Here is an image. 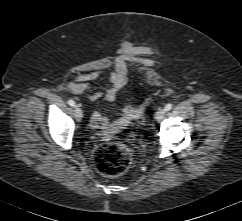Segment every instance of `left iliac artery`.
I'll list each match as a JSON object with an SVG mask.
<instances>
[{
    "mask_svg": "<svg viewBox=\"0 0 242 221\" xmlns=\"http://www.w3.org/2000/svg\"><path fill=\"white\" fill-rule=\"evenodd\" d=\"M172 106H173V105L169 103V104H167V105L165 106L164 110H165V111H170V110L172 109Z\"/></svg>",
    "mask_w": 242,
    "mask_h": 221,
    "instance_id": "left-iliac-artery-1",
    "label": "left iliac artery"
}]
</instances>
